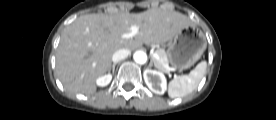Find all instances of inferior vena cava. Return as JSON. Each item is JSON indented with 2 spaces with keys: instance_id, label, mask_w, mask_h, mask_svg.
<instances>
[{
  "instance_id": "obj_1",
  "label": "inferior vena cava",
  "mask_w": 276,
  "mask_h": 120,
  "mask_svg": "<svg viewBox=\"0 0 276 120\" xmlns=\"http://www.w3.org/2000/svg\"><path fill=\"white\" fill-rule=\"evenodd\" d=\"M129 55H130V50L129 49H125V48L119 49L113 54L112 61L114 63H117L121 60H124Z\"/></svg>"
}]
</instances>
